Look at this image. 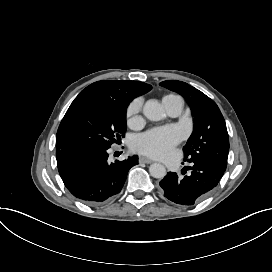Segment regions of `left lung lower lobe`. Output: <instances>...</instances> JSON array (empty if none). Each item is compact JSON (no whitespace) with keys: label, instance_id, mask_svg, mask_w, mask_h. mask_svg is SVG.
Returning <instances> with one entry per match:
<instances>
[{"label":"left lung lower lobe","instance_id":"obj_1","mask_svg":"<svg viewBox=\"0 0 272 272\" xmlns=\"http://www.w3.org/2000/svg\"><path fill=\"white\" fill-rule=\"evenodd\" d=\"M190 176L180 180L176 173L168 172L160 181L164 196L170 201L191 206L204 198L223 176L224 170L208 163L193 162Z\"/></svg>","mask_w":272,"mask_h":272}]
</instances>
